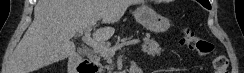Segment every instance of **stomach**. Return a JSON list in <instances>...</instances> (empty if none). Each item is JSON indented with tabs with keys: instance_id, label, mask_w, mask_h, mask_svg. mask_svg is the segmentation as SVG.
<instances>
[{
	"instance_id": "stomach-1",
	"label": "stomach",
	"mask_w": 244,
	"mask_h": 73,
	"mask_svg": "<svg viewBox=\"0 0 244 73\" xmlns=\"http://www.w3.org/2000/svg\"><path fill=\"white\" fill-rule=\"evenodd\" d=\"M135 19L146 29L154 33H163L170 28L167 17L157 13L148 5H141L134 12Z\"/></svg>"
}]
</instances>
